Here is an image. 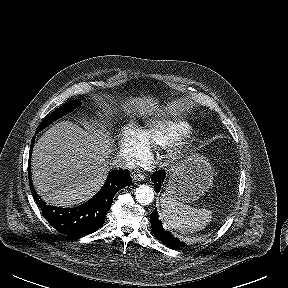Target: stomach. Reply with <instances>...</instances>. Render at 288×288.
<instances>
[{
	"label": "stomach",
	"instance_id": "stomach-1",
	"mask_svg": "<svg viewBox=\"0 0 288 288\" xmlns=\"http://www.w3.org/2000/svg\"><path fill=\"white\" fill-rule=\"evenodd\" d=\"M213 176L208 159L200 154H191L174 167L163 196L192 203L211 188Z\"/></svg>",
	"mask_w": 288,
	"mask_h": 288
}]
</instances>
